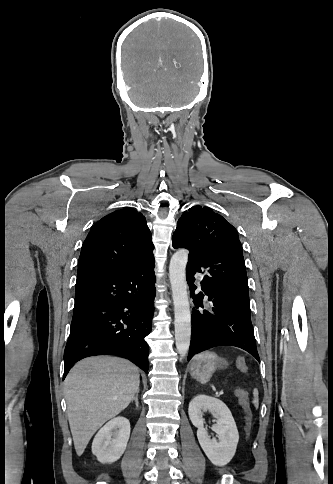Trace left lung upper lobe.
<instances>
[{"mask_svg":"<svg viewBox=\"0 0 333 484\" xmlns=\"http://www.w3.org/2000/svg\"><path fill=\"white\" fill-rule=\"evenodd\" d=\"M182 236L184 241L192 247L202 246L210 241L219 239H235L241 247L236 229L221 215L212 209L193 206L183 213L178 220L175 236ZM242 248V247H241Z\"/></svg>","mask_w":333,"mask_h":484,"instance_id":"obj_1","label":"left lung upper lobe"}]
</instances>
